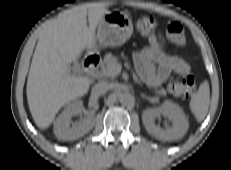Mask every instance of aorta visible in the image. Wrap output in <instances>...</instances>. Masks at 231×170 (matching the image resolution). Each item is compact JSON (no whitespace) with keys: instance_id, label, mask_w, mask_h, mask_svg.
I'll return each instance as SVG.
<instances>
[{"instance_id":"762f6f07","label":"aorta","mask_w":231,"mask_h":170,"mask_svg":"<svg viewBox=\"0 0 231 170\" xmlns=\"http://www.w3.org/2000/svg\"><path fill=\"white\" fill-rule=\"evenodd\" d=\"M118 100L122 104H130L133 100V97L129 92H124L118 95Z\"/></svg>"}]
</instances>
